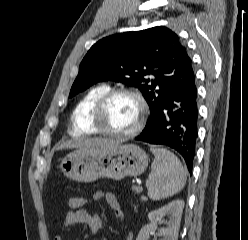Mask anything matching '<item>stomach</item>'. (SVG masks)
Instances as JSON below:
<instances>
[{
    "label": "stomach",
    "mask_w": 248,
    "mask_h": 240,
    "mask_svg": "<svg viewBox=\"0 0 248 240\" xmlns=\"http://www.w3.org/2000/svg\"><path fill=\"white\" fill-rule=\"evenodd\" d=\"M148 162L147 154L139 146L116 144L92 151L76 150L61 160L60 168L68 178L88 183L103 177L121 180L141 175Z\"/></svg>",
    "instance_id": "obj_1"
}]
</instances>
